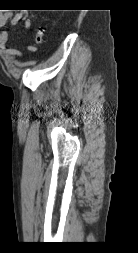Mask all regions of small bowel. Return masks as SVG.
Wrapping results in <instances>:
<instances>
[{
	"label": "small bowel",
	"instance_id": "c3829d8e",
	"mask_svg": "<svg viewBox=\"0 0 138 253\" xmlns=\"http://www.w3.org/2000/svg\"><path fill=\"white\" fill-rule=\"evenodd\" d=\"M20 22L23 23L26 29H30L31 20L25 12H20L12 15L10 11L0 12V47L5 49L7 55L14 57H21V52L14 48H8L7 45L10 41V32L8 25L16 26ZM27 49L34 51L33 46H27Z\"/></svg>",
	"mask_w": 138,
	"mask_h": 253
}]
</instances>
